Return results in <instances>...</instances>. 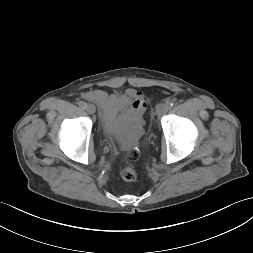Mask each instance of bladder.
Returning <instances> with one entry per match:
<instances>
[{"mask_svg":"<svg viewBox=\"0 0 253 253\" xmlns=\"http://www.w3.org/2000/svg\"><path fill=\"white\" fill-rule=\"evenodd\" d=\"M141 132H142V124L140 123L137 126L136 131L130 136L129 141L130 142L134 141L136 138L140 136Z\"/></svg>","mask_w":253,"mask_h":253,"instance_id":"obj_1","label":"bladder"}]
</instances>
